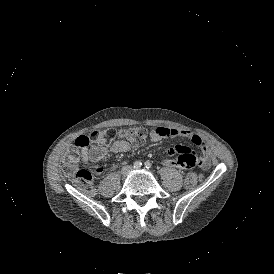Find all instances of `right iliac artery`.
Masks as SVG:
<instances>
[{"label": "right iliac artery", "mask_w": 274, "mask_h": 274, "mask_svg": "<svg viewBox=\"0 0 274 274\" xmlns=\"http://www.w3.org/2000/svg\"><path fill=\"white\" fill-rule=\"evenodd\" d=\"M133 166L134 168L139 169L142 166V163L140 161H136Z\"/></svg>", "instance_id": "obj_1"}]
</instances>
